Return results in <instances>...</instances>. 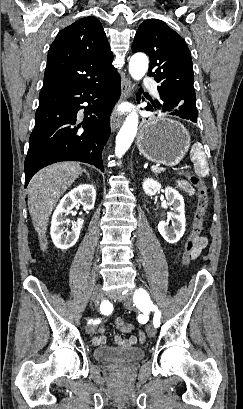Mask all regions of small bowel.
I'll return each mask as SVG.
<instances>
[{
  "label": "small bowel",
  "instance_id": "small-bowel-1",
  "mask_svg": "<svg viewBox=\"0 0 243 409\" xmlns=\"http://www.w3.org/2000/svg\"><path fill=\"white\" fill-rule=\"evenodd\" d=\"M178 186L185 191L187 194L189 195H194L195 194V190L193 189V187L186 181H178ZM207 246V239L204 236H201L198 240V243L196 245V248L194 249L193 253H192V259H196L201 252L206 248ZM106 313H109V310L106 311ZM105 332V328L104 326H100L98 328V335H96L92 342L94 345H103L106 343L107 341V337L104 335ZM114 342L116 345L118 346H123V347H132L135 344H137V342H141L139 339V335L138 336H130L129 338L123 339L119 336H115L114 337Z\"/></svg>",
  "mask_w": 243,
  "mask_h": 409
}]
</instances>
